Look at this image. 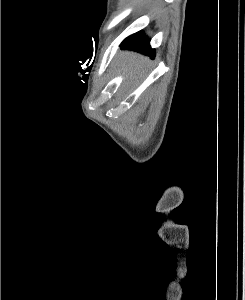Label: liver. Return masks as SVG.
<instances>
[{"label":"liver","instance_id":"1","mask_svg":"<svg viewBox=\"0 0 245 300\" xmlns=\"http://www.w3.org/2000/svg\"><path fill=\"white\" fill-rule=\"evenodd\" d=\"M149 59L132 52H123L120 66L128 71L130 80H137L145 71Z\"/></svg>","mask_w":245,"mask_h":300}]
</instances>
